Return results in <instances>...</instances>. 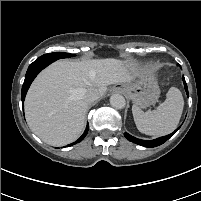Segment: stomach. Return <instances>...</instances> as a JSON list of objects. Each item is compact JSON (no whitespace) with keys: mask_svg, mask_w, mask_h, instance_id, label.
Masks as SVG:
<instances>
[{"mask_svg":"<svg viewBox=\"0 0 201 201\" xmlns=\"http://www.w3.org/2000/svg\"><path fill=\"white\" fill-rule=\"evenodd\" d=\"M118 89L140 109L154 104L160 95L154 70L150 68L144 69L136 80L121 84Z\"/></svg>","mask_w":201,"mask_h":201,"instance_id":"1","label":"stomach"}]
</instances>
